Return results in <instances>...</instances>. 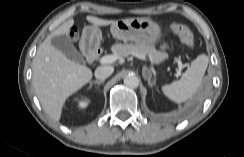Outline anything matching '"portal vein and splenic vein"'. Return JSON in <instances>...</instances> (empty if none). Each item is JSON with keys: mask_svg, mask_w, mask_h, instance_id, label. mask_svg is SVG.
<instances>
[{"mask_svg": "<svg viewBox=\"0 0 244 157\" xmlns=\"http://www.w3.org/2000/svg\"><path fill=\"white\" fill-rule=\"evenodd\" d=\"M133 55L136 56L139 59L145 60V56H143V55L136 54V53H134ZM116 60H117L116 56H114V55H106V56L101 57L99 62H100V64L104 65V64H112ZM177 63H178L179 71L177 72L176 76L178 77L179 75H181V70L184 68V65L182 64V62L180 60H178Z\"/></svg>", "mask_w": 244, "mask_h": 157, "instance_id": "1", "label": "portal vein and splenic vein"}]
</instances>
